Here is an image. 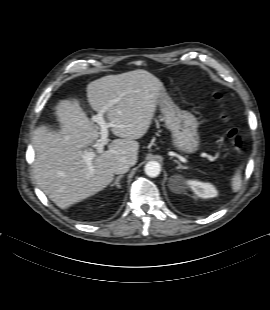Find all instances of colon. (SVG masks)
Wrapping results in <instances>:
<instances>
[{
    "mask_svg": "<svg viewBox=\"0 0 270 310\" xmlns=\"http://www.w3.org/2000/svg\"><path fill=\"white\" fill-rule=\"evenodd\" d=\"M216 99L222 98L221 94H216L215 95ZM222 119L225 123H227L226 126V136L230 143L232 144L233 148L237 151L240 152L242 151L244 144H245V138L243 134L235 127L233 126L230 121L229 117L226 114L222 115Z\"/></svg>",
    "mask_w": 270,
    "mask_h": 310,
    "instance_id": "5ec220e1",
    "label": "colon"
}]
</instances>
